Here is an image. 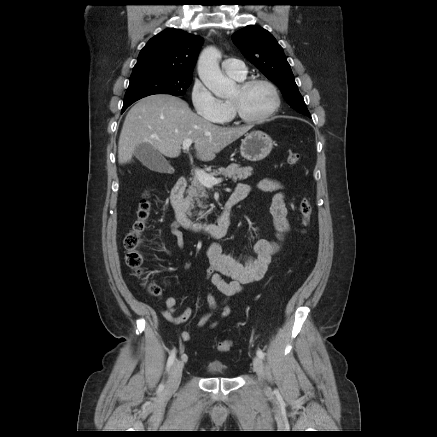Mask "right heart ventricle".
I'll return each instance as SVG.
<instances>
[{
  "mask_svg": "<svg viewBox=\"0 0 437 437\" xmlns=\"http://www.w3.org/2000/svg\"><path fill=\"white\" fill-rule=\"evenodd\" d=\"M242 80H243V79H242ZM227 105H228V108H229V113H228V116L226 117V119H225L224 121L228 120V119L231 117V109H230V105H229V103H227Z\"/></svg>",
  "mask_w": 437,
  "mask_h": 437,
  "instance_id": "e07e8e85",
  "label": "right heart ventricle"
}]
</instances>
